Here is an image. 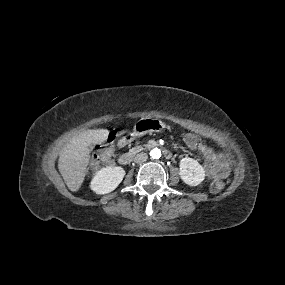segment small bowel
<instances>
[{
  "mask_svg": "<svg viewBox=\"0 0 285 285\" xmlns=\"http://www.w3.org/2000/svg\"><path fill=\"white\" fill-rule=\"evenodd\" d=\"M198 150L205 159L206 173L210 178L221 177L228 174V162L220 153L206 145Z\"/></svg>",
  "mask_w": 285,
  "mask_h": 285,
  "instance_id": "c3829d8e",
  "label": "small bowel"
}]
</instances>
